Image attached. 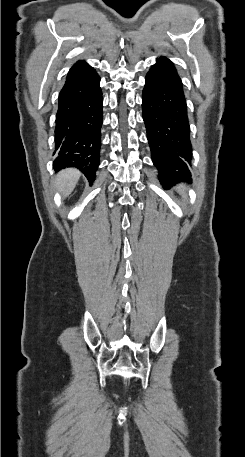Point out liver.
Masks as SVG:
<instances>
[{
    "label": "liver",
    "instance_id": "obj_1",
    "mask_svg": "<svg viewBox=\"0 0 245 457\" xmlns=\"http://www.w3.org/2000/svg\"><path fill=\"white\" fill-rule=\"evenodd\" d=\"M81 172L77 168H64L56 174L57 188L63 196H68L75 188Z\"/></svg>",
    "mask_w": 245,
    "mask_h": 457
}]
</instances>
